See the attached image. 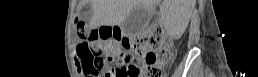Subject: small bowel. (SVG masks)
<instances>
[{
  "label": "small bowel",
  "instance_id": "c3829d8e",
  "mask_svg": "<svg viewBox=\"0 0 258 77\" xmlns=\"http://www.w3.org/2000/svg\"><path fill=\"white\" fill-rule=\"evenodd\" d=\"M110 50H111V52H112L113 54L120 51V50L117 49L114 45L111 46Z\"/></svg>",
  "mask_w": 258,
  "mask_h": 77
}]
</instances>
